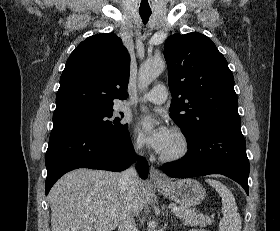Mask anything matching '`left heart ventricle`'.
I'll use <instances>...</instances> for the list:
<instances>
[{"label": "left heart ventricle", "instance_id": "1", "mask_svg": "<svg viewBox=\"0 0 280 231\" xmlns=\"http://www.w3.org/2000/svg\"><path fill=\"white\" fill-rule=\"evenodd\" d=\"M176 139L174 138L173 142L171 143V145L169 146V148L167 149V151L165 153H169L172 152L175 148H176Z\"/></svg>", "mask_w": 280, "mask_h": 231}]
</instances>
